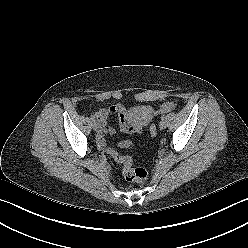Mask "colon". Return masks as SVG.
Listing matches in <instances>:
<instances>
[{"label":"colon","instance_id":"1","mask_svg":"<svg viewBox=\"0 0 248 248\" xmlns=\"http://www.w3.org/2000/svg\"><path fill=\"white\" fill-rule=\"evenodd\" d=\"M149 131L151 136H156L157 128L155 125H151ZM119 146L127 148L131 146V142L129 140H122L120 141ZM107 152L117 163L122 165V174L127 181L138 184L145 183L148 176L146 169L134 167L131 157L121 155L114 149H108Z\"/></svg>","mask_w":248,"mask_h":248}]
</instances>
